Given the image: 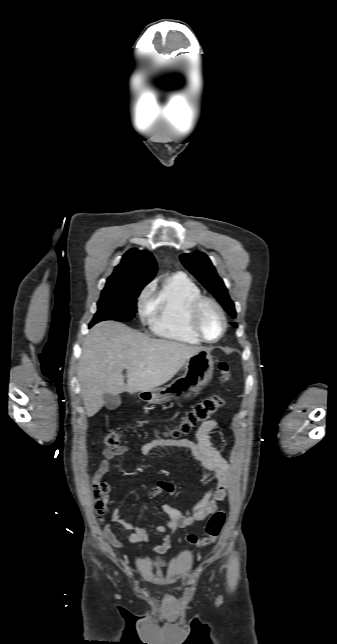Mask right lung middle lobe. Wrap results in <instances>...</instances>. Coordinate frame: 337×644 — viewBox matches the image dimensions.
<instances>
[{"label":"right lung middle lobe","mask_w":337,"mask_h":644,"mask_svg":"<svg viewBox=\"0 0 337 644\" xmlns=\"http://www.w3.org/2000/svg\"><path fill=\"white\" fill-rule=\"evenodd\" d=\"M145 285L104 288L89 327L104 320L130 321L137 313V298Z\"/></svg>","instance_id":"obj_1"}]
</instances>
